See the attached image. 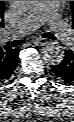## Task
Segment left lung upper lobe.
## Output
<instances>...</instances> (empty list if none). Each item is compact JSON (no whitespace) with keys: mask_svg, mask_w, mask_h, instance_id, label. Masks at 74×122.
<instances>
[{"mask_svg":"<svg viewBox=\"0 0 74 122\" xmlns=\"http://www.w3.org/2000/svg\"><path fill=\"white\" fill-rule=\"evenodd\" d=\"M71 6H72V28L74 29V1H71Z\"/></svg>","mask_w":74,"mask_h":122,"instance_id":"5c2ea615","label":"left lung upper lobe"}]
</instances>
